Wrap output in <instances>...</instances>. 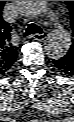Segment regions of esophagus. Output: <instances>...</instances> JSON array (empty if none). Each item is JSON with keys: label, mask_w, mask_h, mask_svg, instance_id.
Masks as SVG:
<instances>
[{"label": "esophagus", "mask_w": 74, "mask_h": 122, "mask_svg": "<svg viewBox=\"0 0 74 122\" xmlns=\"http://www.w3.org/2000/svg\"><path fill=\"white\" fill-rule=\"evenodd\" d=\"M46 37H47V33L46 32H44L42 34H34L32 36L33 39L39 40V41H42V40L46 39Z\"/></svg>", "instance_id": "1"}]
</instances>
